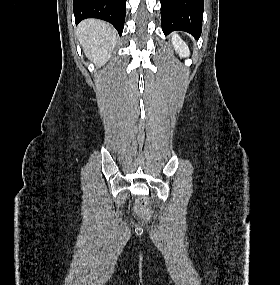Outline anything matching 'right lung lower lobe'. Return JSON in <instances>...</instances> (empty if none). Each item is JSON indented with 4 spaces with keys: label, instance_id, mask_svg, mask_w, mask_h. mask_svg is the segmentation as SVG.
I'll return each mask as SVG.
<instances>
[{
    "label": "right lung lower lobe",
    "instance_id": "obj_1",
    "mask_svg": "<svg viewBox=\"0 0 280 285\" xmlns=\"http://www.w3.org/2000/svg\"><path fill=\"white\" fill-rule=\"evenodd\" d=\"M125 15L126 0H74L76 24L86 18H98L113 24L121 35Z\"/></svg>",
    "mask_w": 280,
    "mask_h": 285
}]
</instances>
